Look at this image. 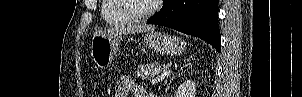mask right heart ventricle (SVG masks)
<instances>
[{
	"instance_id": "1",
	"label": "right heart ventricle",
	"mask_w": 302,
	"mask_h": 97,
	"mask_svg": "<svg viewBox=\"0 0 302 97\" xmlns=\"http://www.w3.org/2000/svg\"><path fill=\"white\" fill-rule=\"evenodd\" d=\"M101 16L104 22L109 26H124L131 22V20L119 11L116 0L102 1Z\"/></svg>"
}]
</instances>
